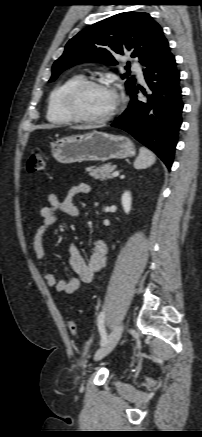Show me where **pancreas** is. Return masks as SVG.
I'll list each match as a JSON object with an SVG mask.
<instances>
[{"mask_svg":"<svg viewBox=\"0 0 202 437\" xmlns=\"http://www.w3.org/2000/svg\"><path fill=\"white\" fill-rule=\"evenodd\" d=\"M115 166L111 164H104L98 167H89L86 169L89 175L98 180H105L113 178L112 172Z\"/></svg>","mask_w":202,"mask_h":437,"instance_id":"obj_1","label":"pancreas"}]
</instances>
